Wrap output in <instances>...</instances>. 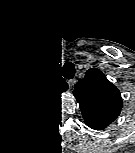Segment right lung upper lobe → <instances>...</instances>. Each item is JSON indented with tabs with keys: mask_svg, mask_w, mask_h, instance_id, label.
<instances>
[{
	"mask_svg": "<svg viewBox=\"0 0 135 153\" xmlns=\"http://www.w3.org/2000/svg\"><path fill=\"white\" fill-rule=\"evenodd\" d=\"M25 93L27 98L36 107L43 106L49 97L58 90V83L51 72H39L29 77L25 83Z\"/></svg>",
	"mask_w": 135,
	"mask_h": 153,
	"instance_id": "cb5924a9",
	"label": "right lung upper lobe"
}]
</instances>
